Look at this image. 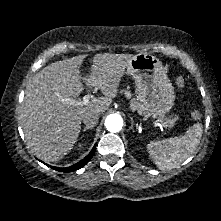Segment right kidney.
Returning <instances> with one entry per match:
<instances>
[{
  "label": "right kidney",
  "instance_id": "1",
  "mask_svg": "<svg viewBox=\"0 0 221 221\" xmlns=\"http://www.w3.org/2000/svg\"><path fill=\"white\" fill-rule=\"evenodd\" d=\"M83 145H84V144L79 143V144H78L79 149H81V148L83 147Z\"/></svg>",
  "mask_w": 221,
  "mask_h": 221
}]
</instances>
